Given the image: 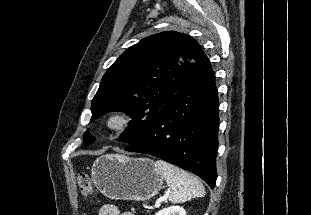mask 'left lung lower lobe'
Segmentation results:
<instances>
[{"instance_id": "left-lung-lower-lobe-1", "label": "left lung lower lobe", "mask_w": 311, "mask_h": 215, "mask_svg": "<svg viewBox=\"0 0 311 215\" xmlns=\"http://www.w3.org/2000/svg\"><path fill=\"white\" fill-rule=\"evenodd\" d=\"M218 107L215 74L203 53L184 85L125 150L163 159L198 175L214 188Z\"/></svg>"}]
</instances>
